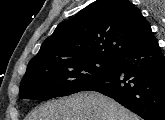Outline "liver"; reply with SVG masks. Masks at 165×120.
Segmentation results:
<instances>
[{"instance_id": "1", "label": "liver", "mask_w": 165, "mask_h": 120, "mask_svg": "<svg viewBox=\"0 0 165 120\" xmlns=\"http://www.w3.org/2000/svg\"><path fill=\"white\" fill-rule=\"evenodd\" d=\"M28 120H139V117L100 93L81 92L40 105Z\"/></svg>"}]
</instances>
